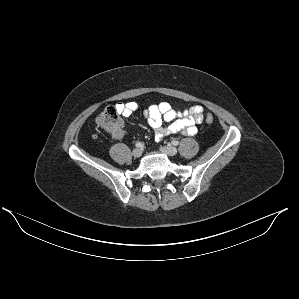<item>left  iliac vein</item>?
<instances>
[{
    "label": "left iliac vein",
    "mask_w": 299,
    "mask_h": 299,
    "mask_svg": "<svg viewBox=\"0 0 299 299\" xmlns=\"http://www.w3.org/2000/svg\"><path fill=\"white\" fill-rule=\"evenodd\" d=\"M160 151L169 155V156H174L177 154V149L172 146H164L160 148Z\"/></svg>",
    "instance_id": "1"
}]
</instances>
